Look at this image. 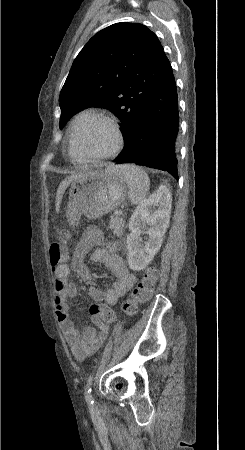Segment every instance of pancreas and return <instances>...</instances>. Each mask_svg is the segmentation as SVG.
Masks as SVG:
<instances>
[{
	"label": "pancreas",
	"mask_w": 245,
	"mask_h": 450,
	"mask_svg": "<svg viewBox=\"0 0 245 450\" xmlns=\"http://www.w3.org/2000/svg\"><path fill=\"white\" fill-rule=\"evenodd\" d=\"M125 221L123 218L116 216L111 219L109 228L113 229L116 236H121L123 234Z\"/></svg>",
	"instance_id": "obj_1"
}]
</instances>
